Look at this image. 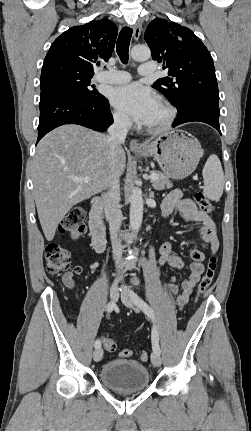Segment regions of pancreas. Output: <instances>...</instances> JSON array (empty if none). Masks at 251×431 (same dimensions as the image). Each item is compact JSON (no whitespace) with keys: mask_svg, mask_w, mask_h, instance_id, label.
<instances>
[{"mask_svg":"<svg viewBox=\"0 0 251 431\" xmlns=\"http://www.w3.org/2000/svg\"><path fill=\"white\" fill-rule=\"evenodd\" d=\"M157 174L158 178L156 180L152 181V186L156 190H163L165 188H171L172 183L168 176L164 175L163 173H159L156 171H152L151 174Z\"/></svg>","mask_w":251,"mask_h":431,"instance_id":"cf45deb5","label":"pancreas"}]
</instances>
